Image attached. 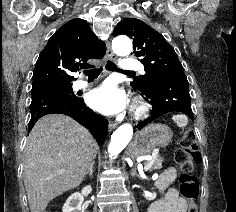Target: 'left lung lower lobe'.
I'll list each match as a JSON object with an SVG mask.
<instances>
[{
	"label": "left lung lower lobe",
	"mask_w": 236,
	"mask_h": 212,
	"mask_svg": "<svg viewBox=\"0 0 236 212\" xmlns=\"http://www.w3.org/2000/svg\"><path fill=\"white\" fill-rule=\"evenodd\" d=\"M145 100L153 106L151 116L138 124L141 130L151 121L169 112H182L193 120L189 84L184 72L160 80L150 91H141Z\"/></svg>",
	"instance_id": "1"
}]
</instances>
